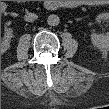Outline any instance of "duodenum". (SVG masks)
Masks as SVG:
<instances>
[{
    "label": "duodenum",
    "instance_id": "duodenum-1",
    "mask_svg": "<svg viewBox=\"0 0 109 109\" xmlns=\"http://www.w3.org/2000/svg\"><path fill=\"white\" fill-rule=\"evenodd\" d=\"M45 8L47 9H52V8H57V7H69V8H73V7H76L77 4L76 3H64V4H57L56 2L54 1H49V2H46L44 4Z\"/></svg>",
    "mask_w": 109,
    "mask_h": 109
}]
</instances>
